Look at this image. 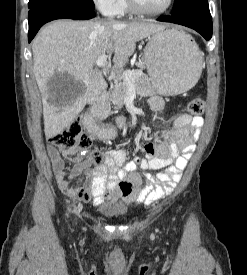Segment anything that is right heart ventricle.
Wrapping results in <instances>:
<instances>
[{
	"mask_svg": "<svg viewBox=\"0 0 247 275\" xmlns=\"http://www.w3.org/2000/svg\"><path fill=\"white\" fill-rule=\"evenodd\" d=\"M130 11L127 0H120L119 8L117 11L118 15H123L125 13H128Z\"/></svg>",
	"mask_w": 247,
	"mask_h": 275,
	"instance_id": "right-heart-ventricle-1",
	"label": "right heart ventricle"
}]
</instances>
